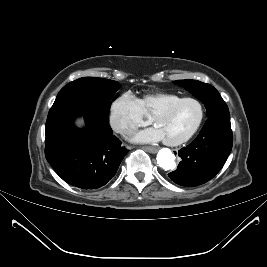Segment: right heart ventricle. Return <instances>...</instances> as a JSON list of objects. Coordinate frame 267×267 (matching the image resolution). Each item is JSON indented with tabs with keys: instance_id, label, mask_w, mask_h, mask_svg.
<instances>
[{
	"instance_id": "right-heart-ventricle-1",
	"label": "right heart ventricle",
	"mask_w": 267,
	"mask_h": 267,
	"mask_svg": "<svg viewBox=\"0 0 267 267\" xmlns=\"http://www.w3.org/2000/svg\"><path fill=\"white\" fill-rule=\"evenodd\" d=\"M181 96L170 92H156L145 94L139 99L144 113L152 116L160 108L180 99Z\"/></svg>"
}]
</instances>
